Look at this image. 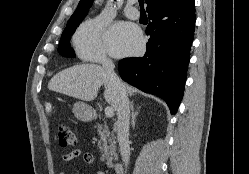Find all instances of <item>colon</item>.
I'll return each mask as SVG.
<instances>
[{"instance_id": "1", "label": "colon", "mask_w": 249, "mask_h": 174, "mask_svg": "<svg viewBox=\"0 0 249 174\" xmlns=\"http://www.w3.org/2000/svg\"><path fill=\"white\" fill-rule=\"evenodd\" d=\"M58 142L62 147L74 145L75 136L70 125L66 123L59 124L57 127Z\"/></svg>"}]
</instances>
